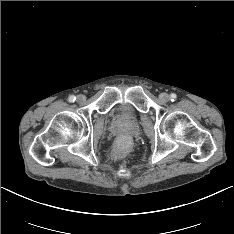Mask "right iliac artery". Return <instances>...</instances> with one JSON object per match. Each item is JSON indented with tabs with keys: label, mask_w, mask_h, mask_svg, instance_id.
Segmentation results:
<instances>
[{
	"label": "right iliac artery",
	"mask_w": 234,
	"mask_h": 234,
	"mask_svg": "<svg viewBox=\"0 0 234 234\" xmlns=\"http://www.w3.org/2000/svg\"><path fill=\"white\" fill-rule=\"evenodd\" d=\"M76 100V97L71 95L69 98H68V101L69 102H74Z\"/></svg>",
	"instance_id": "obj_1"
}]
</instances>
